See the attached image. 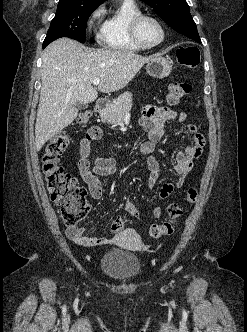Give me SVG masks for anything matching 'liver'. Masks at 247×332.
I'll list each match as a JSON object with an SVG mask.
<instances>
[{"label": "liver", "instance_id": "obj_1", "mask_svg": "<svg viewBox=\"0 0 247 332\" xmlns=\"http://www.w3.org/2000/svg\"><path fill=\"white\" fill-rule=\"evenodd\" d=\"M154 57H143L130 51L97 49L69 38H60L46 47L42 55V88L35 124V145H43L70 125L78 115L77 103L88 104L103 93L123 89L145 63Z\"/></svg>", "mask_w": 247, "mask_h": 332}]
</instances>
